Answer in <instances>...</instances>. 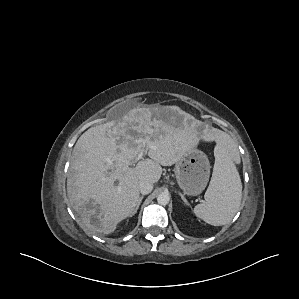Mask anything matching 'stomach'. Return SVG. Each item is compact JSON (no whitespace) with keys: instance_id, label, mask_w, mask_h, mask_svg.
<instances>
[{"instance_id":"1","label":"stomach","mask_w":299,"mask_h":299,"mask_svg":"<svg viewBox=\"0 0 299 299\" xmlns=\"http://www.w3.org/2000/svg\"><path fill=\"white\" fill-rule=\"evenodd\" d=\"M210 168L207 156L199 150L191 149L174 168L179 187L187 195L200 194L208 183Z\"/></svg>"}]
</instances>
